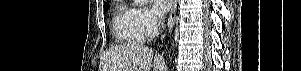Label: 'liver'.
<instances>
[{"label": "liver", "instance_id": "obj_1", "mask_svg": "<svg viewBox=\"0 0 301 71\" xmlns=\"http://www.w3.org/2000/svg\"><path fill=\"white\" fill-rule=\"evenodd\" d=\"M103 71H150L154 58L153 71H164L165 63L160 55L143 44L132 43L104 52Z\"/></svg>", "mask_w": 301, "mask_h": 71}]
</instances>
